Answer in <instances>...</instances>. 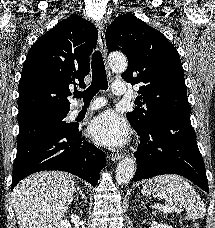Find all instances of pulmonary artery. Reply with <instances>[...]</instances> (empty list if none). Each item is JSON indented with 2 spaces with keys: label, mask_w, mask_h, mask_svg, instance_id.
Here are the masks:
<instances>
[{
  "label": "pulmonary artery",
  "mask_w": 215,
  "mask_h": 228,
  "mask_svg": "<svg viewBox=\"0 0 215 228\" xmlns=\"http://www.w3.org/2000/svg\"><path fill=\"white\" fill-rule=\"evenodd\" d=\"M128 88H129V85L126 84V82H113V84H111L112 92H114L116 95H122L124 93H126L127 95H133L134 90L130 89L127 91ZM104 105H105V102L102 99H95L90 103V105L88 107H86L84 109L81 106H78V104L76 102V104L71 109V115L77 116L84 110L92 111V110L102 108Z\"/></svg>",
  "instance_id": "obj_1"
}]
</instances>
